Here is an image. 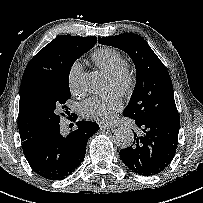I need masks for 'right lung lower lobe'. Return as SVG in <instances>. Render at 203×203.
Wrapping results in <instances>:
<instances>
[{"label": "right lung lower lobe", "mask_w": 203, "mask_h": 203, "mask_svg": "<svg viewBox=\"0 0 203 203\" xmlns=\"http://www.w3.org/2000/svg\"><path fill=\"white\" fill-rule=\"evenodd\" d=\"M77 116L70 117L75 121ZM77 129L67 136L60 125L52 127L47 134L22 143L24 155L31 168L50 180H62L72 174L84 160L88 139L99 129L91 121H78Z\"/></svg>", "instance_id": "right-lung-lower-lobe-1"}]
</instances>
